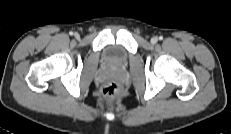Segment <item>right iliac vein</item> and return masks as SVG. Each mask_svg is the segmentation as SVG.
<instances>
[{
    "instance_id": "63e3f726",
    "label": "right iliac vein",
    "mask_w": 231,
    "mask_h": 134,
    "mask_svg": "<svg viewBox=\"0 0 231 134\" xmlns=\"http://www.w3.org/2000/svg\"><path fill=\"white\" fill-rule=\"evenodd\" d=\"M74 36H75V38H77V39L80 37V35H79L78 33H75Z\"/></svg>"
}]
</instances>
